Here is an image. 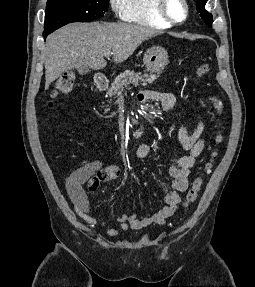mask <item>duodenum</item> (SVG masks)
Returning a JSON list of instances; mask_svg holds the SVG:
<instances>
[{"mask_svg":"<svg viewBox=\"0 0 255 287\" xmlns=\"http://www.w3.org/2000/svg\"><path fill=\"white\" fill-rule=\"evenodd\" d=\"M95 87L98 91H105L108 88V81L105 78H97L95 80ZM147 98L146 93H142L139 95V100L144 101ZM145 131V127L143 125L135 126L131 133L134 137H140L143 135Z\"/></svg>","mask_w":255,"mask_h":287,"instance_id":"obj_1","label":"duodenum"}]
</instances>
